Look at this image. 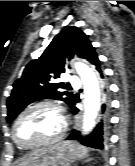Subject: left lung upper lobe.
Returning a JSON list of instances; mask_svg holds the SVG:
<instances>
[{
    "label": "left lung upper lobe",
    "mask_w": 135,
    "mask_h": 166,
    "mask_svg": "<svg viewBox=\"0 0 135 166\" xmlns=\"http://www.w3.org/2000/svg\"><path fill=\"white\" fill-rule=\"evenodd\" d=\"M75 55L89 62L97 56L84 32L77 27H65L54 37L41 57L25 67L22 77L13 84L12 93L7 99V121L11 122L27 105L41 99L62 100L71 107L75 97L60 91L68 89L69 85L57 79L65 72L67 61Z\"/></svg>",
    "instance_id": "obj_1"
}]
</instances>
